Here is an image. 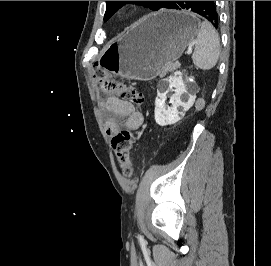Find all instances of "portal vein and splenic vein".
Instances as JSON below:
<instances>
[{
	"label": "portal vein and splenic vein",
	"mask_w": 271,
	"mask_h": 266,
	"mask_svg": "<svg viewBox=\"0 0 271 266\" xmlns=\"http://www.w3.org/2000/svg\"><path fill=\"white\" fill-rule=\"evenodd\" d=\"M192 53V46H189L187 49V54L190 55ZM178 64V66H180L179 61L176 62Z\"/></svg>",
	"instance_id": "obj_1"
}]
</instances>
